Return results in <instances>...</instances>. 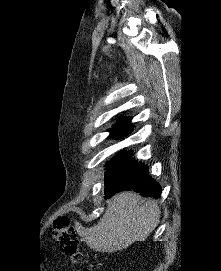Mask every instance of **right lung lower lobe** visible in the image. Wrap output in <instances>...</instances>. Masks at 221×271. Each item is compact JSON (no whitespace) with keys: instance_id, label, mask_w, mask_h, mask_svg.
I'll return each mask as SVG.
<instances>
[{"instance_id":"1","label":"right lung lower lobe","mask_w":221,"mask_h":271,"mask_svg":"<svg viewBox=\"0 0 221 271\" xmlns=\"http://www.w3.org/2000/svg\"><path fill=\"white\" fill-rule=\"evenodd\" d=\"M125 190L144 197L159 198L161 194V187L149 176L147 166L130 158L105 172V195L110 198Z\"/></svg>"}]
</instances>
